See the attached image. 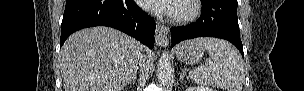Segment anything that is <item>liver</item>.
<instances>
[{"instance_id":"liver-1","label":"liver","mask_w":304,"mask_h":91,"mask_svg":"<svg viewBox=\"0 0 304 91\" xmlns=\"http://www.w3.org/2000/svg\"><path fill=\"white\" fill-rule=\"evenodd\" d=\"M146 57L130 36L109 27L72 34L60 52L65 91H121Z\"/></svg>"}]
</instances>
